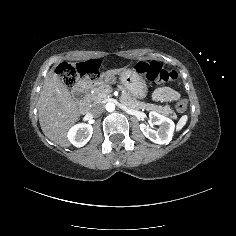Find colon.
<instances>
[{"label":"colon","instance_id":"colon-1","mask_svg":"<svg viewBox=\"0 0 236 236\" xmlns=\"http://www.w3.org/2000/svg\"><path fill=\"white\" fill-rule=\"evenodd\" d=\"M95 69L97 66L94 62L89 64L64 63L58 66L57 73L66 86H73L82 75ZM136 71L146 79L156 83L174 82L178 79L176 71L166 70L156 61H141L137 64ZM186 109L187 101L182 98L177 102L176 110L179 113H184Z\"/></svg>","mask_w":236,"mask_h":236}]
</instances>
